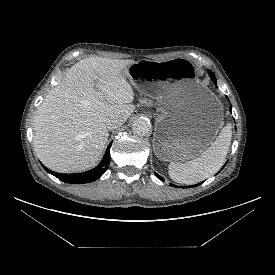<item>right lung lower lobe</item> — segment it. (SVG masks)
<instances>
[{"instance_id":"right-lung-lower-lobe-1","label":"right lung lower lobe","mask_w":275,"mask_h":275,"mask_svg":"<svg viewBox=\"0 0 275 275\" xmlns=\"http://www.w3.org/2000/svg\"><path fill=\"white\" fill-rule=\"evenodd\" d=\"M110 143L107 147L106 153L101 161V163L94 169L84 172V173H79V174H62V173H57L54 171L49 170L48 168L44 167L47 172L50 174L54 175L57 177L59 180L64 181L66 183H73V184H78V183H89L97 180L99 177H101L106 169L108 168L109 162H110Z\"/></svg>"}]
</instances>
